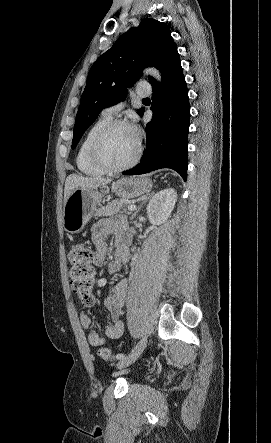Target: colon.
<instances>
[{
	"mask_svg": "<svg viewBox=\"0 0 271 443\" xmlns=\"http://www.w3.org/2000/svg\"><path fill=\"white\" fill-rule=\"evenodd\" d=\"M67 258L72 291L83 305L90 307L94 304V252L88 243H73L68 249ZM97 354L104 360H113L112 351L106 347H100Z\"/></svg>",
	"mask_w": 271,
	"mask_h": 443,
	"instance_id": "1",
	"label": "colon"
}]
</instances>
